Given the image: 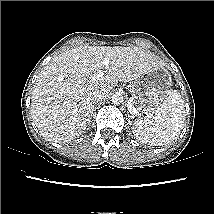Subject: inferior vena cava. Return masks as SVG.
I'll list each match as a JSON object with an SVG mask.
<instances>
[{
    "instance_id": "1",
    "label": "inferior vena cava",
    "mask_w": 214,
    "mask_h": 214,
    "mask_svg": "<svg viewBox=\"0 0 214 214\" xmlns=\"http://www.w3.org/2000/svg\"><path fill=\"white\" fill-rule=\"evenodd\" d=\"M107 95H108V91L107 90L99 89V90L94 91L91 94L90 100H91L92 104L98 103V102H101L104 99H106Z\"/></svg>"
}]
</instances>
